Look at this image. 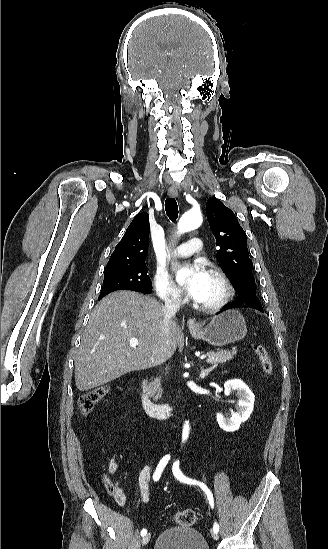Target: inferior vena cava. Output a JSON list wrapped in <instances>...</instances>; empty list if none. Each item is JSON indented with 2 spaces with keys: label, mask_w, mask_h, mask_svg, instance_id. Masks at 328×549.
<instances>
[{
  "label": "inferior vena cava",
  "mask_w": 328,
  "mask_h": 549,
  "mask_svg": "<svg viewBox=\"0 0 328 549\" xmlns=\"http://www.w3.org/2000/svg\"><path fill=\"white\" fill-rule=\"evenodd\" d=\"M164 303V313L166 315V319H164L162 333L167 337L169 333V321H171V319L175 317L176 313L180 311L181 303L180 299H165ZM166 343H168V341H166Z\"/></svg>",
  "instance_id": "inferior-vena-cava-1"
}]
</instances>
